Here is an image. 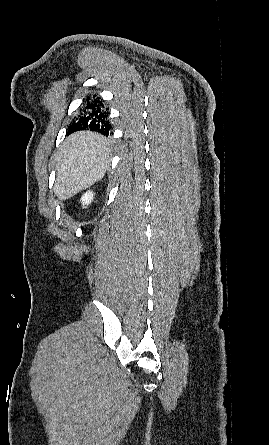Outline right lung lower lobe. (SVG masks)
Wrapping results in <instances>:
<instances>
[{
  "label": "right lung lower lobe",
  "mask_w": 269,
  "mask_h": 445,
  "mask_svg": "<svg viewBox=\"0 0 269 445\" xmlns=\"http://www.w3.org/2000/svg\"><path fill=\"white\" fill-rule=\"evenodd\" d=\"M108 108L103 101L97 97H87L80 114L71 123L68 133L90 130L99 132L105 136L112 134V128L108 120Z\"/></svg>",
  "instance_id": "right-lung-lower-lobe-1"
}]
</instances>
